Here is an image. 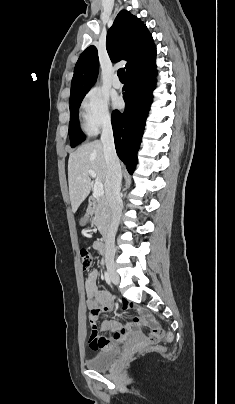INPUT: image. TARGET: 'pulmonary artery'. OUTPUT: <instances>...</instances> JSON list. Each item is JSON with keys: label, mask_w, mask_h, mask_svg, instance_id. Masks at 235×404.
<instances>
[{"label": "pulmonary artery", "mask_w": 235, "mask_h": 404, "mask_svg": "<svg viewBox=\"0 0 235 404\" xmlns=\"http://www.w3.org/2000/svg\"><path fill=\"white\" fill-rule=\"evenodd\" d=\"M112 85L114 88L116 89H120L121 88V82L119 80V78L115 75L112 81Z\"/></svg>", "instance_id": "e3ab8cb5"}]
</instances>
